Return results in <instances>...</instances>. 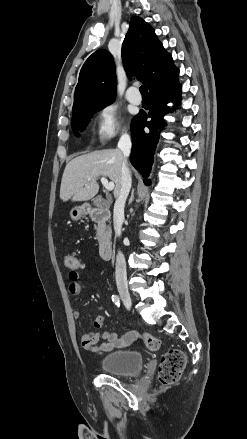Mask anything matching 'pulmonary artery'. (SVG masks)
I'll return each mask as SVG.
<instances>
[{
    "mask_svg": "<svg viewBox=\"0 0 247 439\" xmlns=\"http://www.w3.org/2000/svg\"><path fill=\"white\" fill-rule=\"evenodd\" d=\"M127 100L135 105H139L142 102L141 96L137 93L136 88L131 87L126 92Z\"/></svg>",
    "mask_w": 247,
    "mask_h": 439,
    "instance_id": "e3ab8cb5",
    "label": "pulmonary artery"
}]
</instances>
